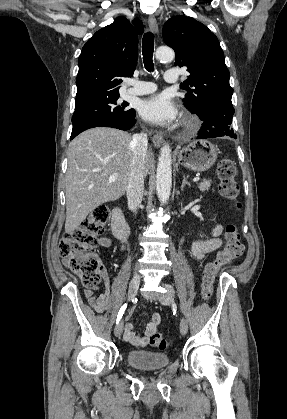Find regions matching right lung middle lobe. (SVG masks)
<instances>
[{"instance_id": "1", "label": "right lung middle lobe", "mask_w": 287, "mask_h": 419, "mask_svg": "<svg viewBox=\"0 0 287 419\" xmlns=\"http://www.w3.org/2000/svg\"><path fill=\"white\" fill-rule=\"evenodd\" d=\"M118 96L98 100L81 107H75L72 117L73 129L80 125L98 118L128 119L131 118L135 110L128 107L127 102H118Z\"/></svg>"}]
</instances>
